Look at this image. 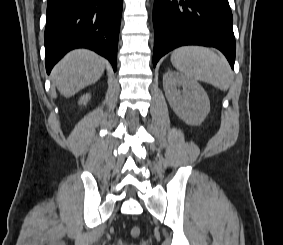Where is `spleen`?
Here are the masks:
<instances>
[{
    "instance_id": "spleen-1",
    "label": "spleen",
    "mask_w": 283,
    "mask_h": 245,
    "mask_svg": "<svg viewBox=\"0 0 283 245\" xmlns=\"http://www.w3.org/2000/svg\"><path fill=\"white\" fill-rule=\"evenodd\" d=\"M171 62L187 78L210 83L222 91H227L232 83L229 64L212 49L179 47L172 52Z\"/></svg>"
}]
</instances>
